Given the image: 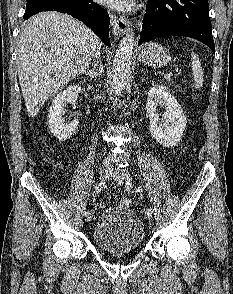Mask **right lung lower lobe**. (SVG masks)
<instances>
[{"mask_svg": "<svg viewBox=\"0 0 233 294\" xmlns=\"http://www.w3.org/2000/svg\"><path fill=\"white\" fill-rule=\"evenodd\" d=\"M42 11H57L77 18L91 28L102 42L110 46L109 15L93 0H41L26 8L24 20Z\"/></svg>", "mask_w": 233, "mask_h": 294, "instance_id": "1", "label": "right lung lower lobe"}]
</instances>
